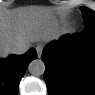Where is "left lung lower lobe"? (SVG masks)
Instances as JSON below:
<instances>
[{
	"label": "left lung lower lobe",
	"mask_w": 95,
	"mask_h": 95,
	"mask_svg": "<svg viewBox=\"0 0 95 95\" xmlns=\"http://www.w3.org/2000/svg\"><path fill=\"white\" fill-rule=\"evenodd\" d=\"M42 60L50 95H95V26L51 42Z\"/></svg>",
	"instance_id": "1"
}]
</instances>
